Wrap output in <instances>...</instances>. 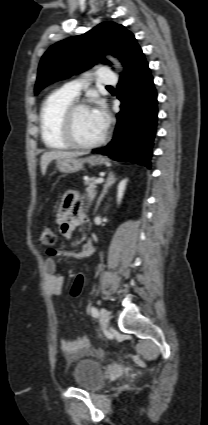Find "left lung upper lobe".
<instances>
[{
  "mask_svg": "<svg viewBox=\"0 0 208 425\" xmlns=\"http://www.w3.org/2000/svg\"><path fill=\"white\" fill-rule=\"evenodd\" d=\"M104 51L121 60L123 74L143 55L134 35L123 25L100 23L83 35L55 43L46 51L39 64L35 94L48 84L80 73L96 62L109 63L103 58Z\"/></svg>",
  "mask_w": 208,
  "mask_h": 425,
  "instance_id": "left-lung-upper-lobe-1",
  "label": "left lung upper lobe"
}]
</instances>
